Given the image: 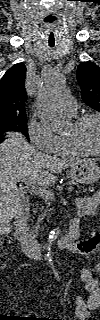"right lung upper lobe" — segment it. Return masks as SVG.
I'll list each match as a JSON object with an SVG mask.
<instances>
[{
	"label": "right lung upper lobe",
	"mask_w": 100,
	"mask_h": 320,
	"mask_svg": "<svg viewBox=\"0 0 100 320\" xmlns=\"http://www.w3.org/2000/svg\"><path fill=\"white\" fill-rule=\"evenodd\" d=\"M25 77L26 67L23 63H18L13 65L0 80V120L26 116Z\"/></svg>",
	"instance_id": "1"
}]
</instances>
